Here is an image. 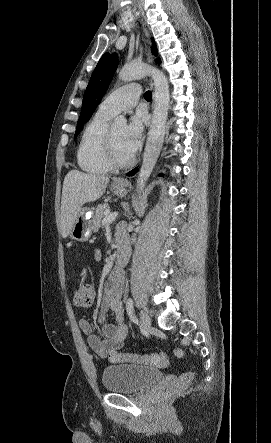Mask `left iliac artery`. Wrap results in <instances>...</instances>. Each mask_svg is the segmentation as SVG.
I'll use <instances>...</instances> for the list:
<instances>
[{
  "instance_id": "1",
  "label": "left iliac artery",
  "mask_w": 271,
  "mask_h": 443,
  "mask_svg": "<svg viewBox=\"0 0 271 443\" xmlns=\"http://www.w3.org/2000/svg\"><path fill=\"white\" fill-rule=\"evenodd\" d=\"M133 300L131 299V298H129L127 301H126V310H127V313H128V315H129V318H130V320L131 321H135V317H134V315H133V312H134V306H133Z\"/></svg>"
}]
</instances>
